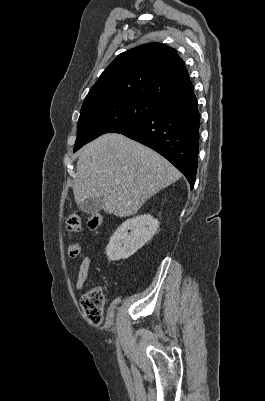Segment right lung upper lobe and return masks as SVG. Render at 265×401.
Instances as JSON below:
<instances>
[{
  "label": "right lung upper lobe",
  "instance_id": "right-lung-upper-lobe-1",
  "mask_svg": "<svg viewBox=\"0 0 265 401\" xmlns=\"http://www.w3.org/2000/svg\"><path fill=\"white\" fill-rule=\"evenodd\" d=\"M193 89L175 49L148 43L116 57L87 94L83 105L105 100L146 99L162 103Z\"/></svg>",
  "mask_w": 265,
  "mask_h": 401
}]
</instances>
